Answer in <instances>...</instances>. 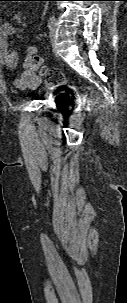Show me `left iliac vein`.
Here are the masks:
<instances>
[{"label": "left iliac vein", "mask_w": 127, "mask_h": 303, "mask_svg": "<svg viewBox=\"0 0 127 303\" xmlns=\"http://www.w3.org/2000/svg\"><path fill=\"white\" fill-rule=\"evenodd\" d=\"M57 35H58V27L55 24V26L52 29H50V39L52 43L56 41Z\"/></svg>", "instance_id": "1"}]
</instances>
